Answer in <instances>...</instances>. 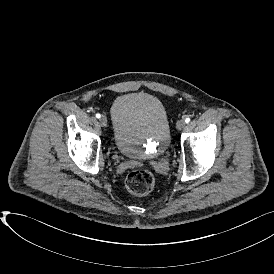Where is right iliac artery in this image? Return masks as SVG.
Returning a JSON list of instances; mask_svg holds the SVG:
<instances>
[{"mask_svg": "<svg viewBox=\"0 0 274 274\" xmlns=\"http://www.w3.org/2000/svg\"><path fill=\"white\" fill-rule=\"evenodd\" d=\"M101 115L99 113L96 114V118H100Z\"/></svg>", "mask_w": 274, "mask_h": 274, "instance_id": "right-iliac-artery-1", "label": "right iliac artery"}]
</instances>
